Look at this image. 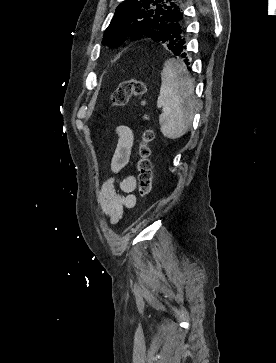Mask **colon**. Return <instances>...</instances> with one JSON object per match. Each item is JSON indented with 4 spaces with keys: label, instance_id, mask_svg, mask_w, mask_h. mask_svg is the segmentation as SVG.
Segmentation results:
<instances>
[{
    "label": "colon",
    "instance_id": "obj_1",
    "mask_svg": "<svg viewBox=\"0 0 276 363\" xmlns=\"http://www.w3.org/2000/svg\"><path fill=\"white\" fill-rule=\"evenodd\" d=\"M147 93V86L144 81L130 79L121 82L111 95V104L114 107H124L129 98L134 96L144 98ZM154 139L151 129H144L141 133L136 152V167L138 172V191L143 198L147 197L153 187V171L150 161V143Z\"/></svg>",
    "mask_w": 276,
    "mask_h": 363
}]
</instances>
